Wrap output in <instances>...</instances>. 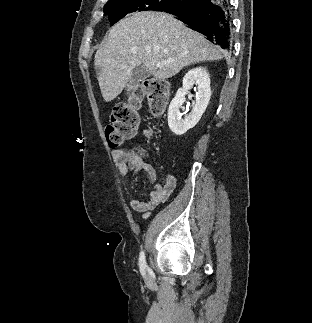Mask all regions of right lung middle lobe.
I'll return each mask as SVG.
<instances>
[{
  "label": "right lung middle lobe",
  "instance_id": "1",
  "mask_svg": "<svg viewBox=\"0 0 312 323\" xmlns=\"http://www.w3.org/2000/svg\"><path fill=\"white\" fill-rule=\"evenodd\" d=\"M185 0H111L104 6L112 24L131 12L147 10H163L179 6Z\"/></svg>",
  "mask_w": 312,
  "mask_h": 323
}]
</instances>
